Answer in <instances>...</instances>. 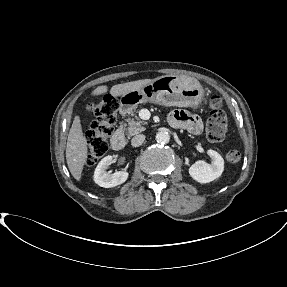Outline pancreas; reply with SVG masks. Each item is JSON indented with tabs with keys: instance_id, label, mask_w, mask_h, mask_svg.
Wrapping results in <instances>:
<instances>
[{
	"instance_id": "obj_1",
	"label": "pancreas",
	"mask_w": 287,
	"mask_h": 287,
	"mask_svg": "<svg viewBox=\"0 0 287 287\" xmlns=\"http://www.w3.org/2000/svg\"><path fill=\"white\" fill-rule=\"evenodd\" d=\"M131 116L134 118H127L121 126L126 131L128 138L145 131V125H147V122L140 120L133 112H131Z\"/></svg>"
}]
</instances>
